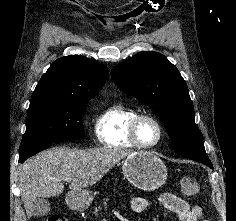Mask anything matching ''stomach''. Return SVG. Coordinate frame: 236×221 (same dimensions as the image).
I'll return each mask as SVG.
<instances>
[{"instance_id": "0dacf381", "label": "stomach", "mask_w": 236, "mask_h": 221, "mask_svg": "<svg viewBox=\"0 0 236 221\" xmlns=\"http://www.w3.org/2000/svg\"><path fill=\"white\" fill-rule=\"evenodd\" d=\"M122 172L126 179L138 189L153 191L160 188L167 179V168L163 161L149 151L133 152L122 164ZM92 192L81 190L68 192L67 205L74 210H85L92 203Z\"/></svg>"}]
</instances>
